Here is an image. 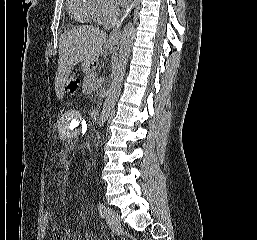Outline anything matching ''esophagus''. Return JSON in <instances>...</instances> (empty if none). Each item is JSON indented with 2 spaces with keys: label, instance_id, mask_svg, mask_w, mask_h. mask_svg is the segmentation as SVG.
Returning a JSON list of instances; mask_svg holds the SVG:
<instances>
[{
  "label": "esophagus",
  "instance_id": "obj_1",
  "mask_svg": "<svg viewBox=\"0 0 257 240\" xmlns=\"http://www.w3.org/2000/svg\"><path fill=\"white\" fill-rule=\"evenodd\" d=\"M137 1L138 0H130V4L123 11V13H122L120 19L118 20L116 26L113 28L112 32L108 36L107 42L109 44L118 43L120 35H121V26H122L123 22L126 20V18L129 16L130 12L134 8Z\"/></svg>",
  "mask_w": 257,
  "mask_h": 240
}]
</instances>
